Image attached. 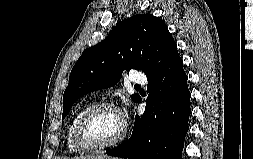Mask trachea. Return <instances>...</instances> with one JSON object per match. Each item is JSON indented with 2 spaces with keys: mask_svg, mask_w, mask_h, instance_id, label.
<instances>
[{
  "mask_svg": "<svg viewBox=\"0 0 253 159\" xmlns=\"http://www.w3.org/2000/svg\"><path fill=\"white\" fill-rule=\"evenodd\" d=\"M135 87H136V88H140V86H138V85H135Z\"/></svg>",
  "mask_w": 253,
  "mask_h": 159,
  "instance_id": "trachea-1",
  "label": "trachea"
}]
</instances>
